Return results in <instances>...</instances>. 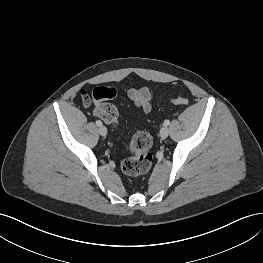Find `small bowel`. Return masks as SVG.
I'll return each mask as SVG.
<instances>
[{
  "instance_id": "c3829d8e",
  "label": "small bowel",
  "mask_w": 263,
  "mask_h": 263,
  "mask_svg": "<svg viewBox=\"0 0 263 263\" xmlns=\"http://www.w3.org/2000/svg\"><path fill=\"white\" fill-rule=\"evenodd\" d=\"M127 96L133 101L135 106L144 113H149L152 109V92L146 88H130L126 91Z\"/></svg>"
}]
</instances>
